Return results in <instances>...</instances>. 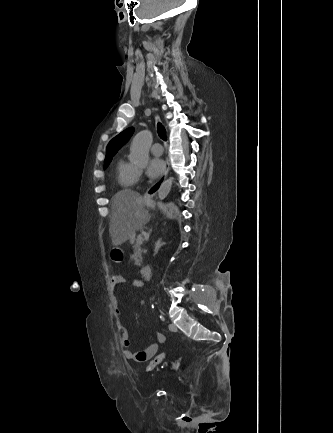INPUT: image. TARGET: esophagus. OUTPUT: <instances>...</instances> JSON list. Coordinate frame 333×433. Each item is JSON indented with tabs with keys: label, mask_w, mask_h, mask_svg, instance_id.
Here are the masks:
<instances>
[{
	"label": "esophagus",
	"mask_w": 333,
	"mask_h": 433,
	"mask_svg": "<svg viewBox=\"0 0 333 433\" xmlns=\"http://www.w3.org/2000/svg\"><path fill=\"white\" fill-rule=\"evenodd\" d=\"M169 168H170V164H169V160L167 159L166 160V166H165V169H164L162 175L153 185H151L148 188V190L144 194V200L145 201H151L152 198L157 194V192L161 188L162 184L164 183V181L168 175Z\"/></svg>",
	"instance_id": "1"
}]
</instances>
